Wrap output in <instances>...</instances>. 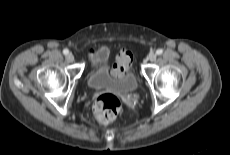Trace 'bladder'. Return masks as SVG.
Listing matches in <instances>:
<instances>
[{"label": "bladder", "mask_w": 230, "mask_h": 155, "mask_svg": "<svg viewBox=\"0 0 230 155\" xmlns=\"http://www.w3.org/2000/svg\"><path fill=\"white\" fill-rule=\"evenodd\" d=\"M88 85L93 89H112L122 94L136 91L139 86L137 76L130 71L123 75L114 76L107 66H100L92 70L87 78Z\"/></svg>", "instance_id": "obj_1"}]
</instances>
